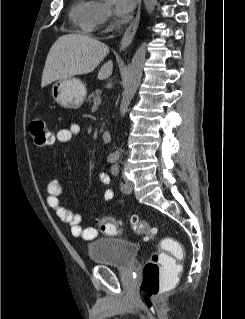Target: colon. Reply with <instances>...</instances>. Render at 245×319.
I'll list each match as a JSON object with an SVG mask.
<instances>
[{"instance_id":"obj_1","label":"colon","mask_w":245,"mask_h":319,"mask_svg":"<svg viewBox=\"0 0 245 319\" xmlns=\"http://www.w3.org/2000/svg\"><path fill=\"white\" fill-rule=\"evenodd\" d=\"M29 132L37 147L49 146L53 142V134L41 117L33 118L29 123ZM134 231L148 238L157 234V228L136 215H129ZM98 229L109 235L122 232L119 221L109 216H101L97 220ZM184 257L183 247L173 238H164L160 250L152 254L143 267V279L138 287V295L142 302L152 303L154 299L173 281V275L180 271L175 259Z\"/></svg>"}]
</instances>
